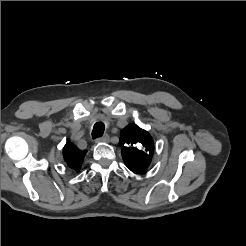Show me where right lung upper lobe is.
<instances>
[{
  "instance_id": "right-lung-upper-lobe-1",
  "label": "right lung upper lobe",
  "mask_w": 246,
  "mask_h": 246,
  "mask_svg": "<svg viewBox=\"0 0 246 246\" xmlns=\"http://www.w3.org/2000/svg\"><path fill=\"white\" fill-rule=\"evenodd\" d=\"M86 150H79L73 143L67 142L63 148L64 160L70 168L79 172Z\"/></svg>"
}]
</instances>
